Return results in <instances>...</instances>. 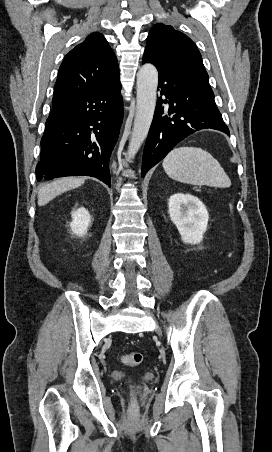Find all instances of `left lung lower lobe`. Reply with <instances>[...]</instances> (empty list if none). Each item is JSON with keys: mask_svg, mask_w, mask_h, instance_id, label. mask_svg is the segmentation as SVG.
Here are the masks:
<instances>
[{"mask_svg": "<svg viewBox=\"0 0 272 452\" xmlns=\"http://www.w3.org/2000/svg\"><path fill=\"white\" fill-rule=\"evenodd\" d=\"M143 63L153 62L143 57ZM156 68L158 88L166 99L160 96L155 108L143 153L142 177L177 143L198 130L215 129L230 134L210 85L172 68ZM163 103H168L169 107H164Z\"/></svg>", "mask_w": 272, "mask_h": 452, "instance_id": "left-lung-lower-lobe-1", "label": "left lung lower lobe"}]
</instances>
